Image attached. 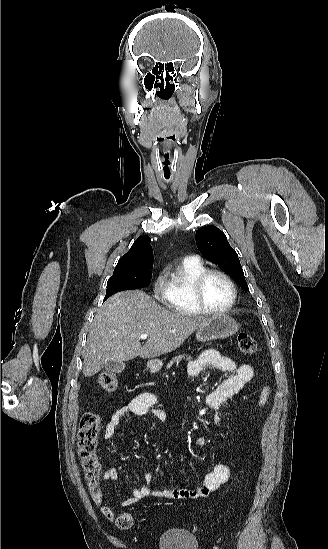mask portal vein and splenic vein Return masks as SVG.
Returning <instances> with one entry per match:
<instances>
[{"mask_svg": "<svg viewBox=\"0 0 328 549\" xmlns=\"http://www.w3.org/2000/svg\"><path fill=\"white\" fill-rule=\"evenodd\" d=\"M139 339H148V335H140Z\"/></svg>", "mask_w": 328, "mask_h": 549, "instance_id": "obj_1", "label": "portal vein and splenic vein"}]
</instances>
